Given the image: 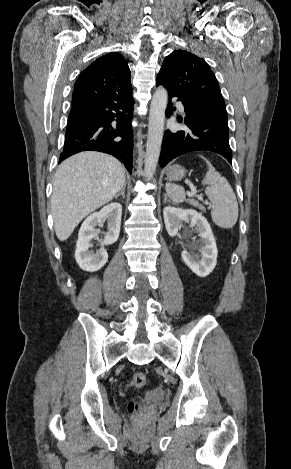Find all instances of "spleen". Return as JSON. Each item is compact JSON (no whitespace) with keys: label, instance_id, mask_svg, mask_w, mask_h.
Listing matches in <instances>:
<instances>
[{"label":"spleen","instance_id":"1","mask_svg":"<svg viewBox=\"0 0 291 469\" xmlns=\"http://www.w3.org/2000/svg\"><path fill=\"white\" fill-rule=\"evenodd\" d=\"M202 158L208 166L202 184L207 185L205 194L212 203V220L220 228L230 229L238 219L236 196L227 179L222 177L207 159ZM166 193L175 203L183 202L186 198L184 188L176 184L166 183Z\"/></svg>","mask_w":291,"mask_h":469}]
</instances>
